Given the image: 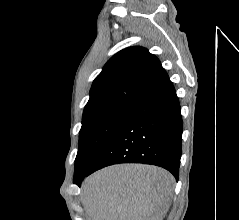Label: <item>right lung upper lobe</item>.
Here are the masks:
<instances>
[{"label": "right lung upper lobe", "mask_w": 239, "mask_h": 220, "mask_svg": "<svg viewBox=\"0 0 239 220\" xmlns=\"http://www.w3.org/2000/svg\"><path fill=\"white\" fill-rule=\"evenodd\" d=\"M169 77L158 58L146 48L116 53L95 78L83 117L120 105H132Z\"/></svg>", "instance_id": "obj_1"}]
</instances>
